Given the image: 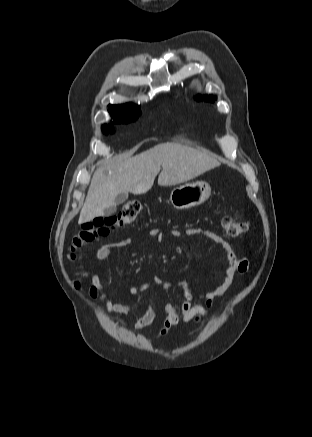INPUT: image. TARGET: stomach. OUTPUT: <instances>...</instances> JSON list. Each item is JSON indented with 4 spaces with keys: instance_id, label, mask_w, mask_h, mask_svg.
I'll return each mask as SVG.
<instances>
[{
    "instance_id": "0dacf381",
    "label": "stomach",
    "mask_w": 312,
    "mask_h": 437,
    "mask_svg": "<svg viewBox=\"0 0 312 437\" xmlns=\"http://www.w3.org/2000/svg\"><path fill=\"white\" fill-rule=\"evenodd\" d=\"M210 195L211 187L207 182H190L174 188L170 202L175 209L186 210L204 203Z\"/></svg>"
}]
</instances>
